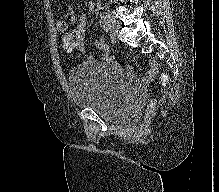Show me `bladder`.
Segmentation results:
<instances>
[{
    "mask_svg": "<svg viewBox=\"0 0 219 192\" xmlns=\"http://www.w3.org/2000/svg\"><path fill=\"white\" fill-rule=\"evenodd\" d=\"M67 82L72 101L110 122L132 119L142 105V94L124 70L113 63L85 62L74 66Z\"/></svg>",
    "mask_w": 219,
    "mask_h": 192,
    "instance_id": "31cf9c89",
    "label": "bladder"
}]
</instances>
